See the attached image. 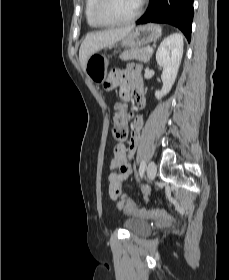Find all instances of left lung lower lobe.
<instances>
[{
    "label": "left lung lower lobe",
    "instance_id": "obj_1",
    "mask_svg": "<svg viewBox=\"0 0 229 280\" xmlns=\"http://www.w3.org/2000/svg\"><path fill=\"white\" fill-rule=\"evenodd\" d=\"M194 0H150L137 24L167 23L179 28L190 42Z\"/></svg>",
    "mask_w": 229,
    "mask_h": 280
}]
</instances>
